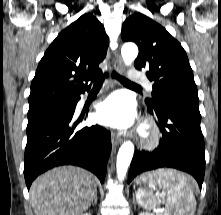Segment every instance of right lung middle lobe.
I'll return each instance as SVG.
<instances>
[{
    "label": "right lung middle lobe",
    "mask_w": 221,
    "mask_h": 215,
    "mask_svg": "<svg viewBox=\"0 0 221 215\" xmlns=\"http://www.w3.org/2000/svg\"><path fill=\"white\" fill-rule=\"evenodd\" d=\"M60 104V103H59ZM58 104H55V105H50V106H45V107H39V108H33V109H29L28 111V118L30 117H33L34 115H36L37 113L43 111V110H46V109H49L51 107H54Z\"/></svg>",
    "instance_id": "1"
}]
</instances>
